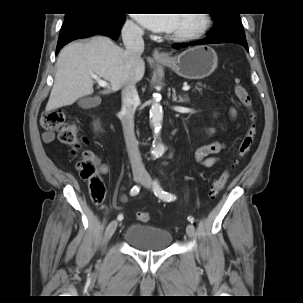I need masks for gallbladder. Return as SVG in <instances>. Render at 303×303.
<instances>
[{
    "instance_id": "obj_1",
    "label": "gallbladder",
    "mask_w": 303,
    "mask_h": 303,
    "mask_svg": "<svg viewBox=\"0 0 303 303\" xmlns=\"http://www.w3.org/2000/svg\"><path fill=\"white\" fill-rule=\"evenodd\" d=\"M89 102H90V98L84 97L79 100L78 105L82 108H86L89 106Z\"/></svg>"
}]
</instances>
